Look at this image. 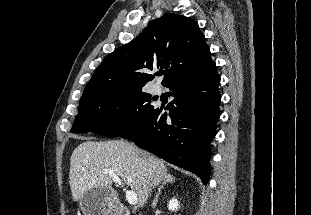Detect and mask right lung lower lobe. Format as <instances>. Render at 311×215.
Wrapping results in <instances>:
<instances>
[{
  "label": "right lung lower lobe",
  "mask_w": 311,
  "mask_h": 215,
  "mask_svg": "<svg viewBox=\"0 0 311 215\" xmlns=\"http://www.w3.org/2000/svg\"><path fill=\"white\" fill-rule=\"evenodd\" d=\"M220 77L214 61L166 85L174 100L162 113L154 108L142 121L121 134L137 146L197 174L207 183L210 143L219 119Z\"/></svg>",
  "instance_id": "right-lung-lower-lobe-1"
}]
</instances>
